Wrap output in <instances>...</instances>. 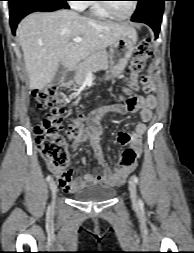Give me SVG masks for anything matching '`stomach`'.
<instances>
[{
	"mask_svg": "<svg viewBox=\"0 0 194 253\" xmlns=\"http://www.w3.org/2000/svg\"><path fill=\"white\" fill-rule=\"evenodd\" d=\"M135 38L124 36L112 44L109 52V66L106 78H113L123 72L135 49Z\"/></svg>",
	"mask_w": 194,
	"mask_h": 253,
	"instance_id": "0dacf381",
	"label": "stomach"
}]
</instances>
